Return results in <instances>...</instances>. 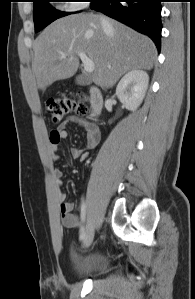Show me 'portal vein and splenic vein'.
<instances>
[{
    "instance_id": "1",
    "label": "portal vein and splenic vein",
    "mask_w": 195,
    "mask_h": 299,
    "mask_svg": "<svg viewBox=\"0 0 195 299\" xmlns=\"http://www.w3.org/2000/svg\"><path fill=\"white\" fill-rule=\"evenodd\" d=\"M78 56L80 57L83 65H84V70L87 73H92L94 71V68H95L93 60H91L90 58H88L87 55L85 53H83V52H78ZM61 57L65 58L66 54L62 53Z\"/></svg>"
}]
</instances>
